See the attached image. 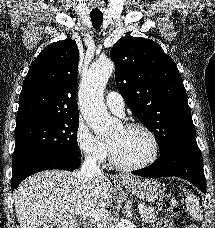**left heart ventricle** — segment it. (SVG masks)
I'll list each match as a JSON object with an SVG mask.
<instances>
[{
  "label": "left heart ventricle",
  "instance_id": "b2bd125f",
  "mask_svg": "<svg viewBox=\"0 0 215 228\" xmlns=\"http://www.w3.org/2000/svg\"><path fill=\"white\" fill-rule=\"evenodd\" d=\"M114 156L122 164L132 165L144 160L150 151L146 133L138 128H119L108 140Z\"/></svg>",
  "mask_w": 215,
  "mask_h": 228
}]
</instances>
